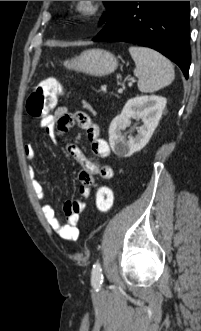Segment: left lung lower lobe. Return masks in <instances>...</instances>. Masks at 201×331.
Returning <instances> with one entry per match:
<instances>
[{"mask_svg": "<svg viewBox=\"0 0 201 331\" xmlns=\"http://www.w3.org/2000/svg\"><path fill=\"white\" fill-rule=\"evenodd\" d=\"M189 1H121L93 41H123L155 49L188 78Z\"/></svg>", "mask_w": 201, "mask_h": 331, "instance_id": "1", "label": "left lung lower lobe"}]
</instances>
